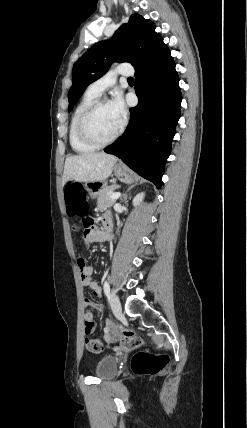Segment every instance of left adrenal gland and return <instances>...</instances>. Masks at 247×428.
<instances>
[{
    "label": "left adrenal gland",
    "mask_w": 247,
    "mask_h": 428,
    "mask_svg": "<svg viewBox=\"0 0 247 428\" xmlns=\"http://www.w3.org/2000/svg\"><path fill=\"white\" fill-rule=\"evenodd\" d=\"M133 187H134V185L130 186V187L127 189V192H128L130 189H132ZM127 197H128L127 193L123 194V195H122V197H121V201H126Z\"/></svg>",
    "instance_id": "a2214340"
}]
</instances>
